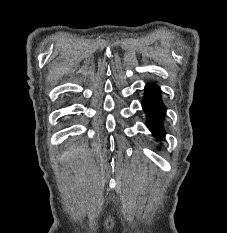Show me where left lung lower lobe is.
Returning a JSON list of instances; mask_svg holds the SVG:
<instances>
[{"label":"left lung lower lobe","instance_id":"obj_1","mask_svg":"<svg viewBox=\"0 0 227 233\" xmlns=\"http://www.w3.org/2000/svg\"><path fill=\"white\" fill-rule=\"evenodd\" d=\"M145 90L142 107L147 114V127L161 140L165 136L163 120L166 109L160 97V89L156 84L150 83L146 85Z\"/></svg>","mask_w":227,"mask_h":233}]
</instances>
